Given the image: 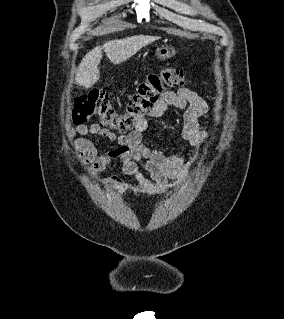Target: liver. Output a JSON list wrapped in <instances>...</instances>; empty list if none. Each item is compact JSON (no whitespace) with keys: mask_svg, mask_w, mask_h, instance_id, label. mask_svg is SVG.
Returning a JSON list of instances; mask_svg holds the SVG:
<instances>
[{"mask_svg":"<svg viewBox=\"0 0 284 319\" xmlns=\"http://www.w3.org/2000/svg\"><path fill=\"white\" fill-rule=\"evenodd\" d=\"M159 37L148 35H135L123 39H115L105 42L89 51L80 62L75 77L79 86L85 89L92 87L100 77L98 65L102 59V51L113 64H120L146 45L158 40Z\"/></svg>","mask_w":284,"mask_h":319,"instance_id":"1","label":"liver"}]
</instances>
